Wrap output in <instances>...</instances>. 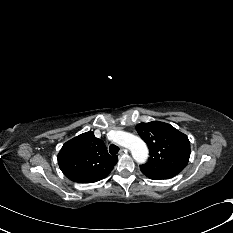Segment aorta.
<instances>
[{
    "label": "aorta",
    "instance_id": "aorta-1",
    "mask_svg": "<svg viewBox=\"0 0 233 233\" xmlns=\"http://www.w3.org/2000/svg\"><path fill=\"white\" fill-rule=\"evenodd\" d=\"M113 141L128 148L137 163L141 164L146 162L148 158V148L141 138L127 132L117 131L114 134Z\"/></svg>",
    "mask_w": 233,
    "mask_h": 233
}]
</instances>
